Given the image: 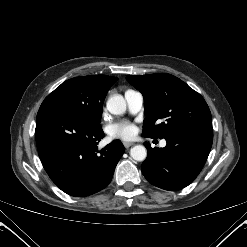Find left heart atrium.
<instances>
[{
	"instance_id": "39dd6f15",
	"label": "left heart atrium",
	"mask_w": 247,
	"mask_h": 247,
	"mask_svg": "<svg viewBox=\"0 0 247 247\" xmlns=\"http://www.w3.org/2000/svg\"><path fill=\"white\" fill-rule=\"evenodd\" d=\"M108 133L112 138L129 139L134 133V127L127 121H120L110 125Z\"/></svg>"
}]
</instances>
